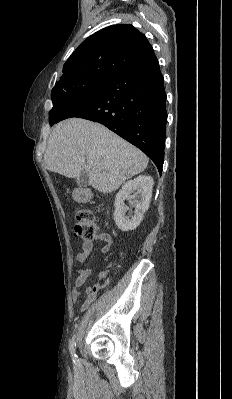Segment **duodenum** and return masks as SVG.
<instances>
[{
  "label": "duodenum",
  "mask_w": 232,
  "mask_h": 399,
  "mask_svg": "<svg viewBox=\"0 0 232 399\" xmlns=\"http://www.w3.org/2000/svg\"><path fill=\"white\" fill-rule=\"evenodd\" d=\"M91 193L88 190H83L80 194V197L83 201L89 200Z\"/></svg>",
  "instance_id": "1"
}]
</instances>
